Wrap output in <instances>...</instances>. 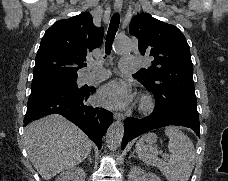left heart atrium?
Instances as JSON below:
<instances>
[{"label": "left heart atrium", "mask_w": 228, "mask_h": 181, "mask_svg": "<svg viewBox=\"0 0 228 181\" xmlns=\"http://www.w3.org/2000/svg\"><path fill=\"white\" fill-rule=\"evenodd\" d=\"M131 89L132 87L128 82L112 80L104 86L100 94L106 103L121 107L127 102Z\"/></svg>", "instance_id": "39dd6f15"}]
</instances>
